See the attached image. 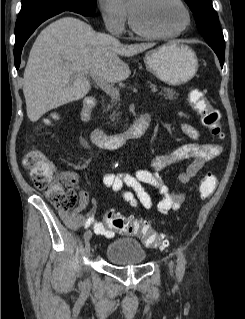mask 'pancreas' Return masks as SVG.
<instances>
[{
    "label": "pancreas",
    "instance_id": "1",
    "mask_svg": "<svg viewBox=\"0 0 245 319\" xmlns=\"http://www.w3.org/2000/svg\"><path fill=\"white\" fill-rule=\"evenodd\" d=\"M159 95H163L165 97L166 100H173L176 98V92L173 90V89H170V88H162L161 92L159 93ZM117 104V101L116 100H111V103L108 104L106 106V109H105V105H103V108H104V111L108 112L109 110H111L115 105ZM118 116V113L116 110L113 111V113L111 114L110 118L112 120H115V118Z\"/></svg>",
    "mask_w": 245,
    "mask_h": 319
}]
</instances>
